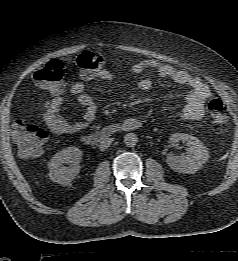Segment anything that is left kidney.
<instances>
[{"label":"left kidney","mask_w":238,"mask_h":261,"mask_svg":"<svg viewBox=\"0 0 238 261\" xmlns=\"http://www.w3.org/2000/svg\"><path fill=\"white\" fill-rule=\"evenodd\" d=\"M179 141L186 142L188 146L187 155L176 156L169 153L166 162L168 166L176 172L193 174L208 161L209 152L203 143L192 135L174 133L169 138L171 146H174Z\"/></svg>","instance_id":"left-kidney-1"}]
</instances>
